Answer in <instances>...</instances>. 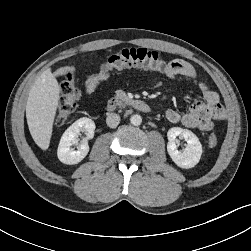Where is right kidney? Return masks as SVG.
I'll return each mask as SVG.
<instances>
[{
	"instance_id": "1",
	"label": "right kidney",
	"mask_w": 251,
	"mask_h": 251,
	"mask_svg": "<svg viewBox=\"0 0 251 251\" xmlns=\"http://www.w3.org/2000/svg\"><path fill=\"white\" fill-rule=\"evenodd\" d=\"M85 132L87 137L78 142L80 132ZM95 123L90 118H80L75 121L62 135L57 150L58 159L68 165L77 164L82 161L89 152L88 139L94 137ZM77 147V150L73 148Z\"/></svg>"
}]
</instances>
